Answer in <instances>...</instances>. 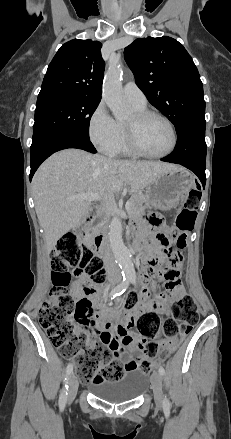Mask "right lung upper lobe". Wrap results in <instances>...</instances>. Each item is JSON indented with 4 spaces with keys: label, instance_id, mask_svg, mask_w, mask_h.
<instances>
[{
    "label": "right lung upper lobe",
    "instance_id": "obj_1",
    "mask_svg": "<svg viewBox=\"0 0 231 439\" xmlns=\"http://www.w3.org/2000/svg\"><path fill=\"white\" fill-rule=\"evenodd\" d=\"M102 44L74 39L63 44L48 66L37 100L81 96L101 100L104 61Z\"/></svg>",
    "mask_w": 231,
    "mask_h": 439
}]
</instances>
